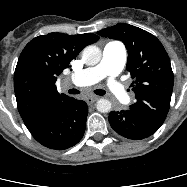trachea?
Returning <instances> with one entry per match:
<instances>
[{"label": "trachea", "instance_id": "1", "mask_svg": "<svg viewBox=\"0 0 187 187\" xmlns=\"http://www.w3.org/2000/svg\"><path fill=\"white\" fill-rule=\"evenodd\" d=\"M94 92H95V94H97V95H104V94H106V92H105L104 90H102V89H97V90H95ZM68 93H69V94L75 95V94H79L80 91L77 90V89H70V90L68 91Z\"/></svg>", "mask_w": 187, "mask_h": 187}]
</instances>
